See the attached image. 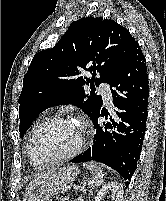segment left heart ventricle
Instances as JSON below:
<instances>
[{"label":"left heart ventricle","mask_w":166,"mask_h":201,"mask_svg":"<svg viewBox=\"0 0 166 201\" xmlns=\"http://www.w3.org/2000/svg\"><path fill=\"white\" fill-rule=\"evenodd\" d=\"M82 138V127L74 121H57L46 125L34 144V156L39 164L73 151Z\"/></svg>","instance_id":"left-heart-ventricle-1"}]
</instances>
